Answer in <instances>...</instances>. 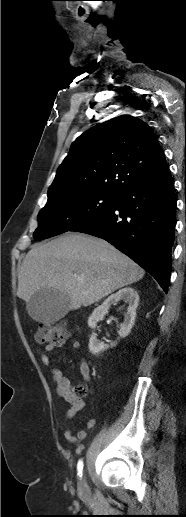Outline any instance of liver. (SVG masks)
<instances>
[{
  "label": "liver",
  "mask_w": 186,
  "mask_h": 517,
  "mask_svg": "<svg viewBox=\"0 0 186 517\" xmlns=\"http://www.w3.org/2000/svg\"><path fill=\"white\" fill-rule=\"evenodd\" d=\"M144 274L105 240L67 233L35 244L27 253L18 272L17 296L28 303L37 291L55 289L66 294L69 309L76 310L139 281Z\"/></svg>",
  "instance_id": "liver-1"
}]
</instances>
